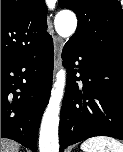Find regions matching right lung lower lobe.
Segmentation results:
<instances>
[{
	"instance_id": "1",
	"label": "right lung lower lobe",
	"mask_w": 123,
	"mask_h": 152,
	"mask_svg": "<svg viewBox=\"0 0 123 152\" xmlns=\"http://www.w3.org/2000/svg\"><path fill=\"white\" fill-rule=\"evenodd\" d=\"M53 75V41L14 60H1V137L37 151V135ZM18 90V91H17Z\"/></svg>"
}]
</instances>
